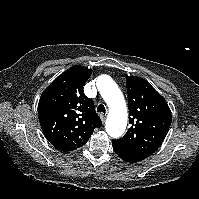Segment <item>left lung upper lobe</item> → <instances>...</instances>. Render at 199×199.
<instances>
[{"mask_svg":"<svg viewBox=\"0 0 199 199\" xmlns=\"http://www.w3.org/2000/svg\"><path fill=\"white\" fill-rule=\"evenodd\" d=\"M126 87L131 126L115 141L148 157L163 142L171 125V111L165 99L145 79L127 76Z\"/></svg>","mask_w":199,"mask_h":199,"instance_id":"5c2ea615","label":"left lung upper lobe"}]
</instances>
